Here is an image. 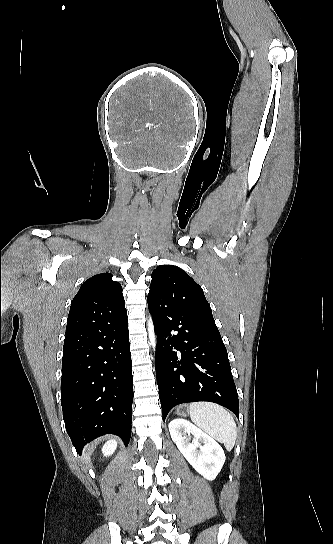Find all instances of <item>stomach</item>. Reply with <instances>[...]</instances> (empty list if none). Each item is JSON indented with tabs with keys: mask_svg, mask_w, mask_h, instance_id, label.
I'll list each match as a JSON object with an SVG mask.
<instances>
[{
	"mask_svg": "<svg viewBox=\"0 0 333 544\" xmlns=\"http://www.w3.org/2000/svg\"><path fill=\"white\" fill-rule=\"evenodd\" d=\"M186 411H187L186 408L180 407V408L177 410V413H178V415L184 417V416H186Z\"/></svg>",
	"mask_w": 333,
	"mask_h": 544,
	"instance_id": "1",
	"label": "stomach"
}]
</instances>
